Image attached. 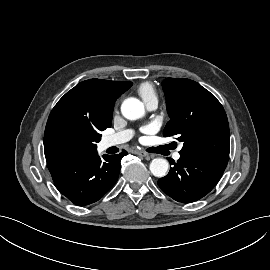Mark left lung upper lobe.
<instances>
[{"mask_svg": "<svg viewBox=\"0 0 270 270\" xmlns=\"http://www.w3.org/2000/svg\"><path fill=\"white\" fill-rule=\"evenodd\" d=\"M170 121L164 136L183 142L182 155L212 157L228 162L230 132L217 98L190 79L167 78L162 83Z\"/></svg>", "mask_w": 270, "mask_h": 270, "instance_id": "left-lung-upper-lobe-1", "label": "left lung upper lobe"}]
</instances>
